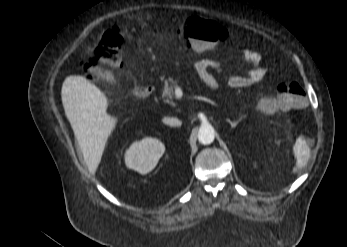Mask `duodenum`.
I'll return each mask as SVG.
<instances>
[{
  "mask_svg": "<svg viewBox=\"0 0 347 247\" xmlns=\"http://www.w3.org/2000/svg\"><path fill=\"white\" fill-rule=\"evenodd\" d=\"M133 95L138 98H145L152 92V86L150 84H138L133 88Z\"/></svg>",
  "mask_w": 347,
  "mask_h": 247,
  "instance_id": "1",
  "label": "duodenum"
}]
</instances>
